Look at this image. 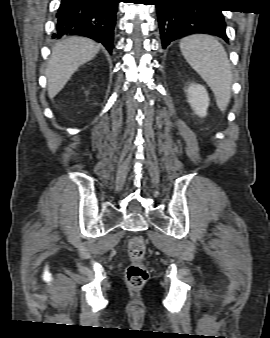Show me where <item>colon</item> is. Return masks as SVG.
Here are the masks:
<instances>
[{"label":"colon","instance_id":"obj_1","mask_svg":"<svg viewBox=\"0 0 270 338\" xmlns=\"http://www.w3.org/2000/svg\"><path fill=\"white\" fill-rule=\"evenodd\" d=\"M146 243L143 237L134 236L128 242L129 263L125 271L126 284L134 289L142 288L149 277V270L144 263Z\"/></svg>","mask_w":270,"mask_h":338}]
</instances>
